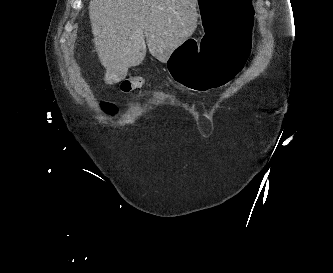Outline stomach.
Segmentation results:
<instances>
[{
  "label": "stomach",
  "mask_w": 333,
  "mask_h": 273,
  "mask_svg": "<svg viewBox=\"0 0 333 273\" xmlns=\"http://www.w3.org/2000/svg\"><path fill=\"white\" fill-rule=\"evenodd\" d=\"M202 39L187 38L168 55L167 68L180 85L198 92L222 87L241 75L252 49L254 0H196ZM197 46V49H195Z\"/></svg>",
  "instance_id": "stomach-1"
}]
</instances>
